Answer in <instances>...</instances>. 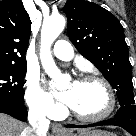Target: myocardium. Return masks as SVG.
I'll return each mask as SVG.
<instances>
[{
  "mask_svg": "<svg viewBox=\"0 0 136 136\" xmlns=\"http://www.w3.org/2000/svg\"><path fill=\"white\" fill-rule=\"evenodd\" d=\"M81 82H97L101 84L108 96V104L106 109L100 114L94 116H84L76 112L72 107L70 109L71 114L78 120L88 123H94L102 121L108 118L114 111L116 106V96L111 84L102 76L96 74H89L82 77Z\"/></svg>",
  "mask_w": 136,
  "mask_h": 136,
  "instance_id": "1",
  "label": "myocardium"
}]
</instances>
